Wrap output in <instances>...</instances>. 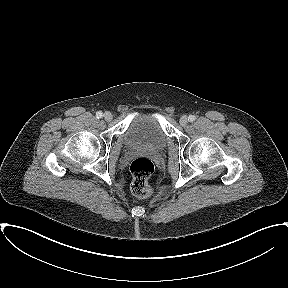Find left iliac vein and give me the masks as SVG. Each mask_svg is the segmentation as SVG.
<instances>
[{"instance_id": "obj_1", "label": "left iliac vein", "mask_w": 288, "mask_h": 288, "mask_svg": "<svg viewBox=\"0 0 288 288\" xmlns=\"http://www.w3.org/2000/svg\"><path fill=\"white\" fill-rule=\"evenodd\" d=\"M179 123H180V125L181 126H186L187 125V123H188V118H187V116H182L181 118H180V120H179Z\"/></svg>"}]
</instances>
